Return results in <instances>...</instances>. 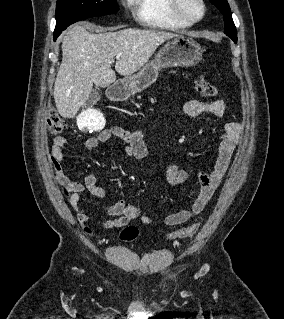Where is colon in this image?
Wrapping results in <instances>:
<instances>
[{
  "label": "colon",
  "instance_id": "1",
  "mask_svg": "<svg viewBox=\"0 0 284 319\" xmlns=\"http://www.w3.org/2000/svg\"><path fill=\"white\" fill-rule=\"evenodd\" d=\"M195 90L204 97L213 98L218 95L215 85L209 82L203 76L198 77L194 82ZM47 128L51 134L57 135L66 129V122L56 113H51L47 118ZM200 223H194L184 228L178 229L168 235L169 240L187 238L193 236L199 229ZM138 229L134 226H128L121 232V239L124 241H133L138 237Z\"/></svg>",
  "mask_w": 284,
  "mask_h": 319
}]
</instances>
